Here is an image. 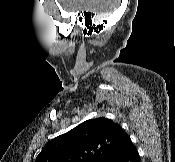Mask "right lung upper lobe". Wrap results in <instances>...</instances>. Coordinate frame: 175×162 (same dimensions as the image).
Segmentation results:
<instances>
[{
  "label": "right lung upper lobe",
  "instance_id": "obj_1",
  "mask_svg": "<svg viewBox=\"0 0 175 162\" xmlns=\"http://www.w3.org/2000/svg\"><path fill=\"white\" fill-rule=\"evenodd\" d=\"M132 147L119 124L100 117L84 121L51 140L35 162H112Z\"/></svg>",
  "mask_w": 175,
  "mask_h": 162
}]
</instances>
